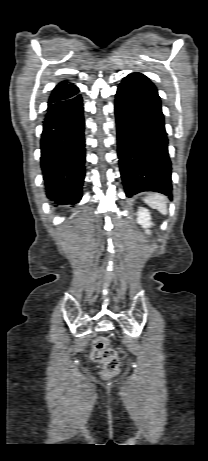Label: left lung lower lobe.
I'll list each match as a JSON object with an SVG mask.
<instances>
[{
	"instance_id": "left-lung-lower-lobe-1",
	"label": "left lung lower lobe",
	"mask_w": 208,
	"mask_h": 461,
	"mask_svg": "<svg viewBox=\"0 0 208 461\" xmlns=\"http://www.w3.org/2000/svg\"><path fill=\"white\" fill-rule=\"evenodd\" d=\"M118 157L127 197L155 191L172 198L171 161L160 97L141 73L118 86L115 99Z\"/></svg>"
}]
</instances>
